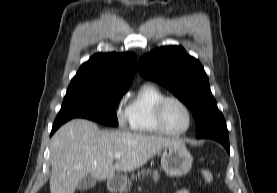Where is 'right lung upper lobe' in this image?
Segmentation results:
<instances>
[{
    "label": "right lung upper lobe",
    "instance_id": "1",
    "mask_svg": "<svg viewBox=\"0 0 277 193\" xmlns=\"http://www.w3.org/2000/svg\"><path fill=\"white\" fill-rule=\"evenodd\" d=\"M136 64L137 58L133 53L95 54L79 68L68 89L126 92L133 80Z\"/></svg>",
    "mask_w": 277,
    "mask_h": 193
}]
</instances>
